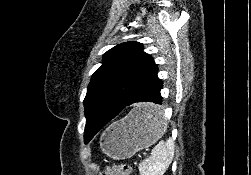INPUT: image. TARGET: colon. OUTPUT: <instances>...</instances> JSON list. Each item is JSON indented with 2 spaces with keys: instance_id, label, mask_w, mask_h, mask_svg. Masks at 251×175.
I'll return each mask as SVG.
<instances>
[{
  "instance_id": "5ec220e1",
  "label": "colon",
  "mask_w": 251,
  "mask_h": 175,
  "mask_svg": "<svg viewBox=\"0 0 251 175\" xmlns=\"http://www.w3.org/2000/svg\"><path fill=\"white\" fill-rule=\"evenodd\" d=\"M133 171V165L122 163L106 167L101 171L100 175H131Z\"/></svg>"
}]
</instances>
